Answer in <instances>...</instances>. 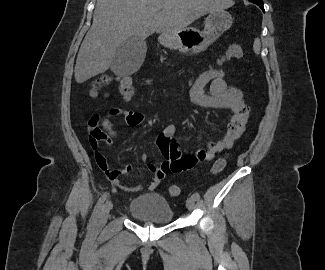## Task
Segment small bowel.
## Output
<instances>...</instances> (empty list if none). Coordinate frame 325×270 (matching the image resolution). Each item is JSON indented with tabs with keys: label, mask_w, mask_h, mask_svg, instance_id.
<instances>
[{
	"label": "small bowel",
	"mask_w": 325,
	"mask_h": 270,
	"mask_svg": "<svg viewBox=\"0 0 325 270\" xmlns=\"http://www.w3.org/2000/svg\"><path fill=\"white\" fill-rule=\"evenodd\" d=\"M198 73H207L208 77L203 78V81L198 87L189 89L190 100L192 103L205 109H229L232 112V116L225 135L221 140L209 144L207 149L198 150L192 155H182L177 141L174 138L177 128L174 124L167 125L157 139L159 150L164 157V161L158 166L150 162L146 154L141 156V160L146 163L147 169L154 174L147 187L149 191L155 190L169 173H178L188 170L194 167L198 162L210 161L216 154L232 148L235 141L240 138L244 131L249 109L243 101L242 92L235 87L229 86L225 82L224 72L220 68L214 67L209 71L202 70ZM188 84H191V82L189 81ZM207 84L210 85L209 93H206L204 90ZM178 100L183 102V96H178ZM108 115L111 117L123 116L126 123L132 127L140 126L144 120V115L140 112L127 111L116 107L111 108ZM93 118L99 119V115L96 114ZM105 143L111 145L112 141L108 140L105 141ZM95 160L100 169L106 173L107 177L116 187L128 192H138L143 189L142 186L122 185L118 180L120 174H128L131 172L132 166L130 164L125 165L121 170L111 169L106 157L100 152H95Z\"/></svg>",
	"instance_id": "c3829d8e"
}]
</instances>
